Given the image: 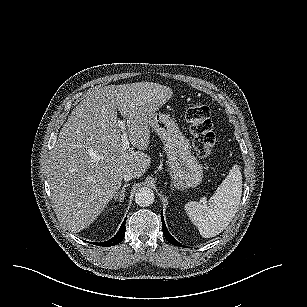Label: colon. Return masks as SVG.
<instances>
[{"instance_id": "5ec220e1", "label": "colon", "mask_w": 307, "mask_h": 307, "mask_svg": "<svg viewBox=\"0 0 307 307\" xmlns=\"http://www.w3.org/2000/svg\"><path fill=\"white\" fill-rule=\"evenodd\" d=\"M210 115V108L202 102L190 105L185 112V118L193 136V147L199 158L208 157L215 145Z\"/></svg>"}]
</instances>
